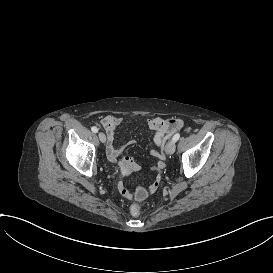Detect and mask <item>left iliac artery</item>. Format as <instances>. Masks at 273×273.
<instances>
[{"mask_svg":"<svg viewBox=\"0 0 273 273\" xmlns=\"http://www.w3.org/2000/svg\"><path fill=\"white\" fill-rule=\"evenodd\" d=\"M179 138H180V134H179V133H177V134H175V135L173 136V140H174L175 142L178 141Z\"/></svg>","mask_w":273,"mask_h":273,"instance_id":"44dca946","label":"left iliac artery"}]
</instances>
